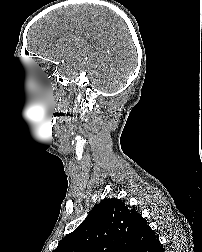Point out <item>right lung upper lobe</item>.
<instances>
[{"instance_id":"right-lung-upper-lobe-1","label":"right lung upper lobe","mask_w":202,"mask_h":252,"mask_svg":"<svg viewBox=\"0 0 202 252\" xmlns=\"http://www.w3.org/2000/svg\"><path fill=\"white\" fill-rule=\"evenodd\" d=\"M154 231L120 199H105L53 252H156Z\"/></svg>"}]
</instances>
